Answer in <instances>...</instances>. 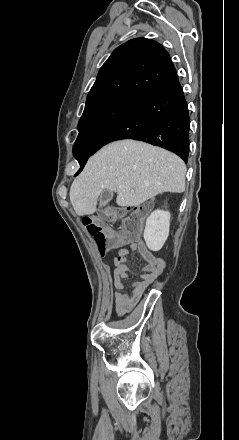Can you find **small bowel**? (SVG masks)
Masks as SVG:
<instances>
[{"instance_id":"c3829d8e","label":"small bowel","mask_w":239,"mask_h":440,"mask_svg":"<svg viewBox=\"0 0 239 440\" xmlns=\"http://www.w3.org/2000/svg\"><path fill=\"white\" fill-rule=\"evenodd\" d=\"M139 251L145 261L143 273L139 275L140 279L132 283L130 289L125 290L124 280L132 273L127 265L130 253ZM114 286L116 310L119 314L129 311L140 299L145 289L152 284L161 274L164 268V261L155 257L143 244L131 243L128 249H122L114 259Z\"/></svg>"}]
</instances>
